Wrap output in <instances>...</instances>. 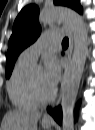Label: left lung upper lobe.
I'll use <instances>...</instances> for the list:
<instances>
[{"mask_svg":"<svg viewBox=\"0 0 95 130\" xmlns=\"http://www.w3.org/2000/svg\"><path fill=\"white\" fill-rule=\"evenodd\" d=\"M54 3L68 6L82 13L79 0H54ZM38 15L39 8L36 5H28L17 16L8 44L6 78L10 77L18 55L38 38L41 31Z\"/></svg>","mask_w":95,"mask_h":130,"instance_id":"obj_1","label":"left lung upper lobe"}]
</instances>
